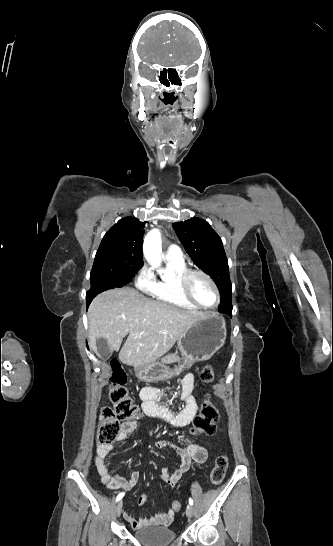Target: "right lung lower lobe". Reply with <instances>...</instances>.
I'll return each instance as SVG.
<instances>
[{"instance_id":"right-lung-lower-lobe-1","label":"right lung lower lobe","mask_w":333,"mask_h":546,"mask_svg":"<svg viewBox=\"0 0 333 546\" xmlns=\"http://www.w3.org/2000/svg\"><path fill=\"white\" fill-rule=\"evenodd\" d=\"M88 292H89V291H88ZM88 292L86 293V304H87V308H88V306H89L91 300L95 297L94 295L90 296V294H89Z\"/></svg>"}]
</instances>
